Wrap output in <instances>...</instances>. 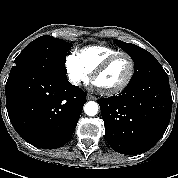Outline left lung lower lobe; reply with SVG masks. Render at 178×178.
Wrapping results in <instances>:
<instances>
[{"label": "left lung lower lobe", "mask_w": 178, "mask_h": 178, "mask_svg": "<svg viewBox=\"0 0 178 178\" xmlns=\"http://www.w3.org/2000/svg\"><path fill=\"white\" fill-rule=\"evenodd\" d=\"M111 148L133 155L150 150L164 134L171 117L168 76L128 84L118 95L98 99Z\"/></svg>", "instance_id": "0a47b994"}]
</instances>
